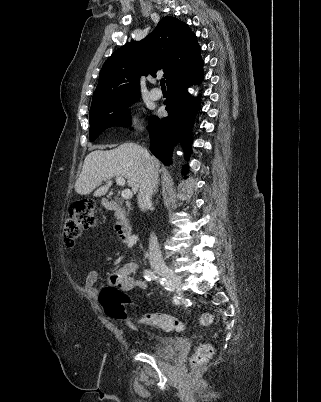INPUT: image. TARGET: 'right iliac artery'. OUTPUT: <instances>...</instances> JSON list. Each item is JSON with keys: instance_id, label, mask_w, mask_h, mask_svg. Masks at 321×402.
<instances>
[{"instance_id": "right-iliac-artery-1", "label": "right iliac artery", "mask_w": 321, "mask_h": 402, "mask_svg": "<svg viewBox=\"0 0 321 402\" xmlns=\"http://www.w3.org/2000/svg\"><path fill=\"white\" fill-rule=\"evenodd\" d=\"M144 277L148 281L158 280L160 282V284H162L165 287L166 290H168V291L173 290V287H172V284H171L170 281L166 280L165 278H158L156 276V274L153 271L149 270V269H146L144 271ZM174 301L177 303L178 299L176 297H174Z\"/></svg>"}]
</instances>
